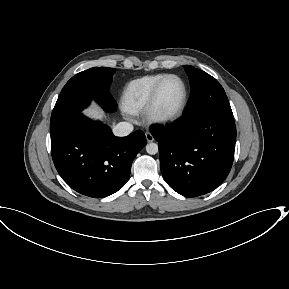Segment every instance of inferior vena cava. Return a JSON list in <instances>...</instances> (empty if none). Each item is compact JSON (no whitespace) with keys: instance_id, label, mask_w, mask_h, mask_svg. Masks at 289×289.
<instances>
[{"instance_id":"602c4592","label":"inferior vena cava","mask_w":289,"mask_h":289,"mask_svg":"<svg viewBox=\"0 0 289 289\" xmlns=\"http://www.w3.org/2000/svg\"><path fill=\"white\" fill-rule=\"evenodd\" d=\"M133 131V125L129 122H120L113 128L115 136L124 137Z\"/></svg>"}]
</instances>
